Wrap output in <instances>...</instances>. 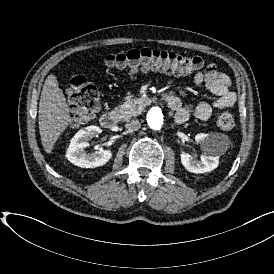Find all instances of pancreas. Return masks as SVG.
Instances as JSON below:
<instances>
[{
    "mask_svg": "<svg viewBox=\"0 0 274 274\" xmlns=\"http://www.w3.org/2000/svg\"><path fill=\"white\" fill-rule=\"evenodd\" d=\"M111 112L120 121H126L131 117H136L142 114L144 110L139 108V105L136 104L135 100H130L122 105H119L118 107H114Z\"/></svg>",
    "mask_w": 274,
    "mask_h": 274,
    "instance_id": "cf45deb5",
    "label": "pancreas"
}]
</instances>
